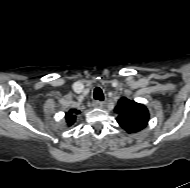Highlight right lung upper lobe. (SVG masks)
I'll return each mask as SVG.
<instances>
[{
	"label": "right lung upper lobe",
	"instance_id": "1",
	"mask_svg": "<svg viewBox=\"0 0 190 188\" xmlns=\"http://www.w3.org/2000/svg\"><path fill=\"white\" fill-rule=\"evenodd\" d=\"M79 113V110L71 109L65 114V120L68 126H71L76 122L77 114Z\"/></svg>",
	"mask_w": 190,
	"mask_h": 188
}]
</instances>
